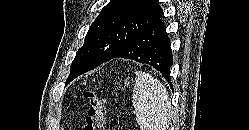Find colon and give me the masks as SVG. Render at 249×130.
I'll use <instances>...</instances> for the list:
<instances>
[{
  "label": "colon",
  "instance_id": "1",
  "mask_svg": "<svg viewBox=\"0 0 249 130\" xmlns=\"http://www.w3.org/2000/svg\"><path fill=\"white\" fill-rule=\"evenodd\" d=\"M83 97L88 100L84 130H101L106 112V98L97 89L93 88L83 92Z\"/></svg>",
  "mask_w": 249,
  "mask_h": 130
}]
</instances>
